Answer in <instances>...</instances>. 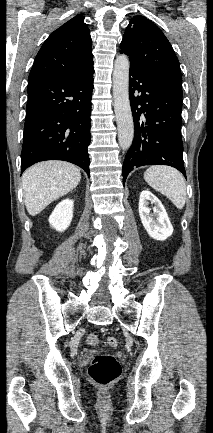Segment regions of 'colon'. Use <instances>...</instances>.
<instances>
[{"instance_id": "5ec220e1", "label": "colon", "mask_w": 213, "mask_h": 433, "mask_svg": "<svg viewBox=\"0 0 213 433\" xmlns=\"http://www.w3.org/2000/svg\"><path fill=\"white\" fill-rule=\"evenodd\" d=\"M104 344L106 347L114 348L117 346V339L107 337ZM121 370V364L114 356L100 354L93 358L88 374L97 386L106 388L119 378Z\"/></svg>"}]
</instances>
